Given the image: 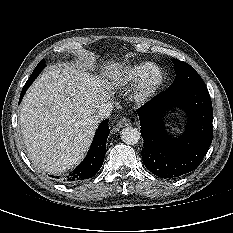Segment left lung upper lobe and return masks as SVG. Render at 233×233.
I'll list each match as a JSON object with an SVG mask.
<instances>
[{
  "mask_svg": "<svg viewBox=\"0 0 233 233\" xmlns=\"http://www.w3.org/2000/svg\"><path fill=\"white\" fill-rule=\"evenodd\" d=\"M172 61L175 66L176 77L174 82L168 87V90L189 87L206 88L203 79L192 66L178 59H173Z\"/></svg>",
  "mask_w": 233,
  "mask_h": 233,
  "instance_id": "1",
  "label": "left lung upper lobe"
}]
</instances>
